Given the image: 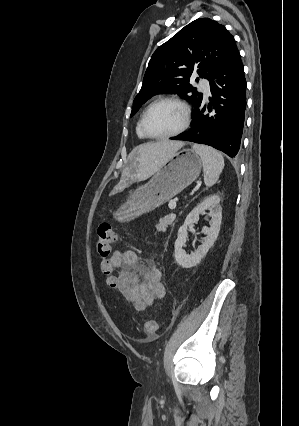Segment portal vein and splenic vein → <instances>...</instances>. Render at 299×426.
Returning <instances> with one entry per match:
<instances>
[{
	"label": "portal vein and splenic vein",
	"instance_id": "obj_1",
	"mask_svg": "<svg viewBox=\"0 0 299 426\" xmlns=\"http://www.w3.org/2000/svg\"><path fill=\"white\" fill-rule=\"evenodd\" d=\"M175 207H176V201L174 200V201H171L170 203H169V208L170 209H175Z\"/></svg>",
	"mask_w": 299,
	"mask_h": 426
}]
</instances>
